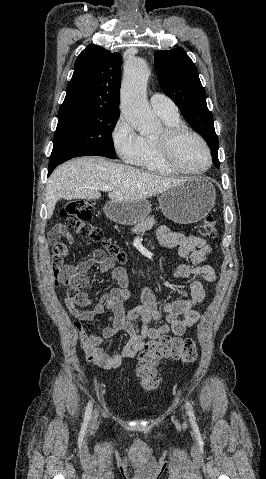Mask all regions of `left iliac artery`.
Listing matches in <instances>:
<instances>
[{"mask_svg": "<svg viewBox=\"0 0 266 479\" xmlns=\"http://www.w3.org/2000/svg\"><path fill=\"white\" fill-rule=\"evenodd\" d=\"M186 408H187L188 416L190 417V419L195 420L194 411H193L192 405L189 401H186Z\"/></svg>", "mask_w": 266, "mask_h": 479, "instance_id": "left-iliac-artery-1", "label": "left iliac artery"}]
</instances>
